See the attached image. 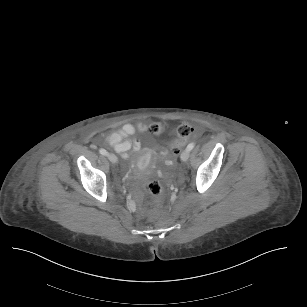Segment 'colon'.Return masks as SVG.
Instances as JSON below:
<instances>
[{"instance_id": "obj_1", "label": "colon", "mask_w": 307, "mask_h": 307, "mask_svg": "<svg viewBox=\"0 0 307 307\" xmlns=\"http://www.w3.org/2000/svg\"><path fill=\"white\" fill-rule=\"evenodd\" d=\"M148 132L150 134L157 135L162 132V127L158 123H154L148 128ZM193 132L194 129L189 124H182L178 127L177 136L179 139L178 142L172 147V153L174 155H178L182 152L181 147ZM145 189L155 196L162 192V186L158 180L147 181L145 183Z\"/></svg>"}]
</instances>
